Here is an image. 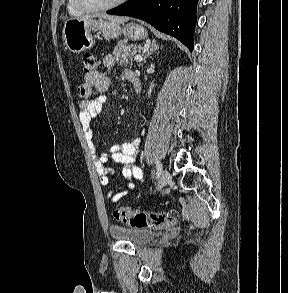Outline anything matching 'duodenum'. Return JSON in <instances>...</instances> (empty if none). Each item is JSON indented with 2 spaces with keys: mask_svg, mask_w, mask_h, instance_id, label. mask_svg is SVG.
Wrapping results in <instances>:
<instances>
[{
  "mask_svg": "<svg viewBox=\"0 0 288 293\" xmlns=\"http://www.w3.org/2000/svg\"><path fill=\"white\" fill-rule=\"evenodd\" d=\"M131 83L133 85V88L135 90L136 93H139L140 90H141V83L139 81V79L137 77H134L132 80H131Z\"/></svg>",
  "mask_w": 288,
  "mask_h": 293,
  "instance_id": "duodenum-1",
  "label": "duodenum"
}]
</instances>
